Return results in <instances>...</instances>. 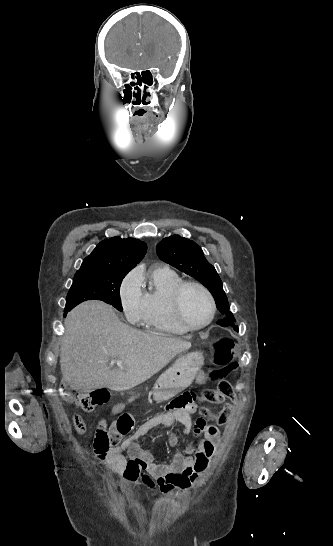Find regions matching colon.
I'll use <instances>...</instances> for the list:
<instances>
[{"mask_svg":"<svg viewBox=\"0 0 333 546\" xmlns=\"http://www.w3.org/2000/svg\"><path fill=\"white\" fill-rule=\"evenodd\" d=\"M213 364L214 369L209 371L207 378L217 380L218 388L211 393L210 400L217 404H222L224 401L229 400L231 402L236 401V395L232 385L227 378L231 375L236 376L239 374L241 366L240 360L233 361L234 345L232 341L224 337L217 338L213 344ZM234 384L240 383L239 377L233 378ZM109 399L107 392L102 390H96L92 392H77L69 391V401L76 407L83 411H92L97 406L105 404ZM194 396L192 394H184L174 400L171 406L184 407L193 405ZM73 425L76 431L80 434L86 431V425L82 417L79 415L73 416ZM195 429L198 435L205 432L206 421L204 418L199 417L195 422ZM130 431V420L124 416L118 417L110 425L102 423L96 431L94 437V451L95 454L103 459L107 456L110 449L117 445L123 436Z\"/></svg>","mask_w":333,"mask_h":546,"instance_id":"5ec220e1","label":"colon"}]
</instances>
